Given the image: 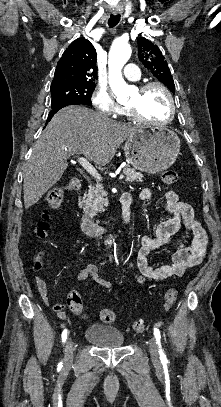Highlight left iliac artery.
I'll use <instances>...</instances> for the list:
<instances>
[{
    "instance_id": "1",
    "label": "left iliac artery",
    "mask_w": 221,
    "mask_h": 407,
    "mask_svg": "<svg viewBox=\"0 0 221 407\" xmlns=\"http://www.w3.org/2000/svg\"><path fill=\"white\" fill-rule=\"evenodd\" d=\"M154 336L156 338L157 344L159 345L160 360H161V362H167L166 355L164 354V352L161 348V344H160V338H161L160 331L156 327L154 328Z\"/></svg>"
}]
</instances>
